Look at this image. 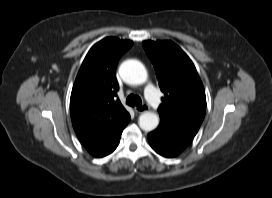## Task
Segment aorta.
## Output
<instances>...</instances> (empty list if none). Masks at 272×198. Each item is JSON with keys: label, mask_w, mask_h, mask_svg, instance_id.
Listing matches in <instances>:
<instances>
[{"label": "aorta", "mask_w": 272, "mask_h": 198, "mask_svg": "<svg viewBox=\"0 0 272 198\" xmlns=\"http://www.w3.org/2000/svg\"><path fill=\"white\" fill-rule=\"evenodd\" d=\"M119 73L125 82L133 85L143 84L148 78L145 66L133 59L124 61L119 68ZM138 123L142 130L149 132L156 129L159 117L156 113L145 112L140 115Z\"/></svg>", "instance_id": "aorta-1"}]
</instances>
